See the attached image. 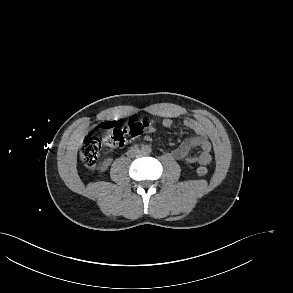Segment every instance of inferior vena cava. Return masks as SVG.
Segmentation results:
<instances>
[{
    "mask_svg": "<svg viewBox=\"0 0 293 293\" xmlns=\"http://www.w3.org/2000/svg\"><path fill=\"white\" fill-rule=\"evenodd\" d=\"M140 149L138 147H131L128 151H127V156L130 158L136 157L140 154Z\"/></svg>",
    "mask_w": 293,
    "mask_h": 293,
    "instance_id": "602c4592",
    "label": "inferior vena cava"
}]
</instances>
